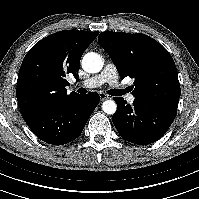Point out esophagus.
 Listing matches in <instances>:
<instances>
[{
    "mask_svg": "<svg viewBox=\"0 0 199 199\" xmlns=\"http://www.w3.org/2000/svg\"><path fill=\"white\" fill-rule=\"evenodd\" d=\"M99 97L101 101L107 100L109 98L108 94L105 92H99Z\"/></svg>",
    "mask_w": 199,
    "mask_h": 199,
    "instance_id": "1",
    "label": "esophagus"
}]
</instances>
